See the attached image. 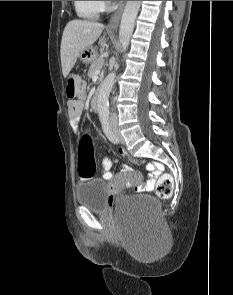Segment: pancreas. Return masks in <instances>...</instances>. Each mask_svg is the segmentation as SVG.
Masks as SVG:
<instances>
[{"instance_id":"pancreas-1","label":"pancreas","mask_w":233,"mask_h":295,"mask_svg":"<svg viewBox=\"0 0 233 295\" xmlns=\"http://www.w3.org/2000/svg\"><path fill=\"white\" fill-rule=\"evenodd\" d=\"M102 65H103V61L100 59H96L95 61H93L88 71L89 78H94L96 76V73H95L96 70L101 68Z\"/></svg>"}]
</instances>
